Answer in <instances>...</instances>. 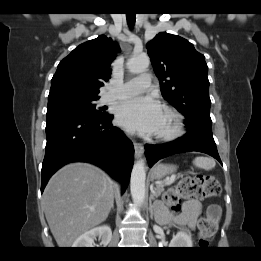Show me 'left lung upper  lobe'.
<instances>
[{
    "mask_svg": "<svg viewBox=\"0 0 261 261\" xmlns=\"http://www.w3.org/2000/svg\"><path fill=\"white\" fill-rule=\"evenodd\" d=\"M147 50L163 97L185 116V124L212 125L204 55L186 39L166 32L148 42Z\"/></svg>",
    "mask_w": 261,
    "mask_h": 261,
    "instance_id": "left-lung-upper-lobe-1",
    "label": "left lung upper lobe"
}]
</instances>
